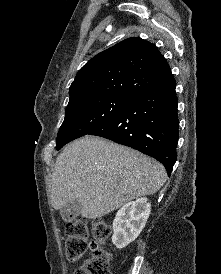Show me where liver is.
Here are the masks:
<instances>
[{"instance_id":"6515ba94","label":"liver","mask_w":221,"mask_h":274,"mask_svg":"<svg viewBox=\"0 0 221 274\" xmlns=\"http://www.w3.org/2000/svg\"><path fill=\"white\" fill-rule=\"evenodd\" d=\"M166 171L156 160L114 142L85 136L68 144L54 166L51 204L77 200L81 215L101 218L124 204L160 190Z\"/></svg>"}]
</instances>
